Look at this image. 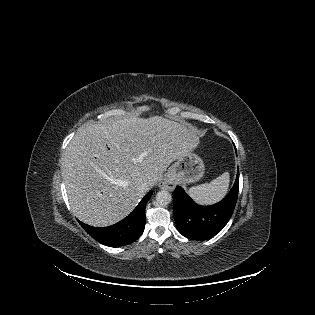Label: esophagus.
<instances>
[{"label": "esophagus", "mask_w": 315, "mask_h": 315, "mask_svg": "<svg viewBox=\"0 0 315 315\" xmlns=\"http://www.w3.org/2000/svg\"><path fill=\"white\" fill-rule=\"evenodd\" d=\"M159 187L162 189L172 190L174 188V183L170 179L165 178L159 182Z\"/></svg>", "instance_id": "34e87169"}]
</instances>
